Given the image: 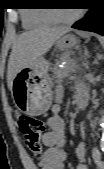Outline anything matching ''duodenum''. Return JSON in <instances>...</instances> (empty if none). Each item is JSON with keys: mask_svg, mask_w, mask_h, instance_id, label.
Instances as JSON below:
<instances>
[{"mask_svg": "<svg viewBox=\"0 0 104 169\" xmlns=\"http://www.w3.org/2000/svg\"><path fill=\"white\" fill-rule=\"evenodd\" d=\"M76 106L80 111L86 109L88 106V98L86 96H78L76 98Z\"/></svg>", "mask_w": 104, "mask_h": 169, "instance_id": "410a0bca", "label": "duodenum"}]
</instances>
